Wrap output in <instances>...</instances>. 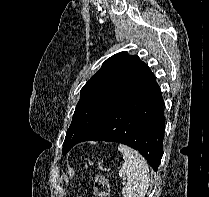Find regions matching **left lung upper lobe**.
<instances>
[{
    "label": "left lung upper lobe",
    "mask_w": 209,
    "mask_h": 197,
    "mask_svg": "<svg viewBox=\"0 0 209 197\" xmlns=\"http://www.w3.org/2000/svg\"><path fill=\"white\" fill-rule=\"evenodd\" d=\"M149 72L150 68L137 55L123 51L108 58L81 89L80 100L63 143V154L77 144L118 97Z\"/></svg>",
    "instance_id": "left-lung-upper-lobe-1"
}]
</instances>
